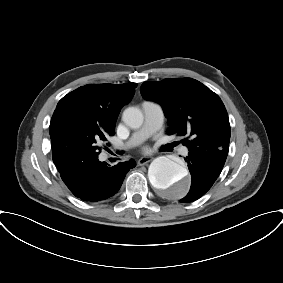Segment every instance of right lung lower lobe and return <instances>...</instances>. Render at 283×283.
Listing matches in <instances>:
<instances>
[{"label":"right lung lower lobe","instance_id":"obj_1","mask_svg":"<svg viewBox=\"0 0 283 283\" xmlns=\"http://www.w3.org/2000/svg\"><path fill=\"white\" fill-rule=\"evenodd\" d=\"M135 167L134 160L110 166L98 160V154L87 153L58 168L63 182L78 198L96 202L118 192L125 175Z\"/></svg>","mask_w":283,"mask_h":283}]
</instances>
